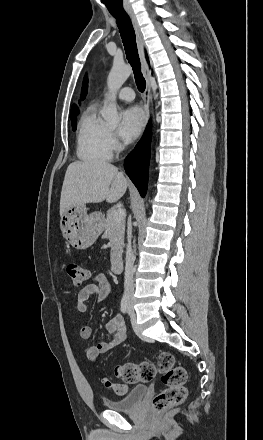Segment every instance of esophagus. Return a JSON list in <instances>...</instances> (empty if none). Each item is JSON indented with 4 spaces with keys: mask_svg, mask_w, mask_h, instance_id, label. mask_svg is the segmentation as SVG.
Here are the masks:
<instances>
[{
    "mask_svg": "<svg viewBox=\"0 0 263 440\" xmlns=\"http://www.w3.org/2000/svg\"><path fill=\"white\" fill-rule=\"evenodd\" d=\"M134 31H135V35H136V43H137V48H138V53H139V57H140V61H141V65H142V71H143V75L146 79V88H145V93H144V110H145V126L147 125L148 121H149V103H150V99H151V70L150 67L146 61L145 58V49H144V40H143V36L140 30V26L138 24L137 18L135 16V14L133 13L132 10H128L127 11Z\"/></svg>",
    "mask_w": 263,
    "mask_h": 440,
    "instance_id": "1",
    "label": "esophagus"
}]
</instances>
